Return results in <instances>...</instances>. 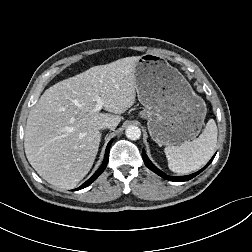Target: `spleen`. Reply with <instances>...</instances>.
<instances>
[{
  "label": "spleen",
  "instance_id": "spleen-1",
  "mask_svg": "<svg viewBox=\"0 0 252 252\" xmlns=\"http://www.w3.org/2000/svg\"><path fill=\"white\" fill-rule=\"evenodd\" d=\"M218 130L216 123L210 119L200 136L181 146H167L164 149L171 171L180 174L199 169L214 154L217 144Z\"/></svg>",
  "mask_w": 252,
  "mask_h": 252
}]
</instances>
